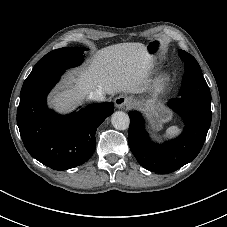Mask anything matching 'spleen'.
Returning <instances> with one entry per match:
<instances>
[{"label":"spleen","instance_id":"1","mask_svg":"<svg viewBox=\"0 0 227 227\" xmlns=\"http://www.w3.org/2000/svg\"><path fill=\"white\" fill-rule=\"evenodd\" d=\"M180 132V129L177 126H170L166 130V136L173 137L176 136Z\"/></svg>","mask_w":227,"mask_h":227}]
</instances>
